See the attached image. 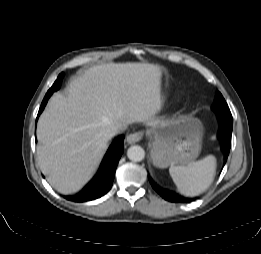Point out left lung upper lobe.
<instances>
[{
    "instance_id": "5c2ea615",
    "label": "left lung upper lobe",
    "mask_w": 261,
    "mask_h": 254,
    "mask_svg": "<svg viewBox=\"0 0 261 254\" xmlns=\"http://www.w3.org/2000/svg\"><path fill=\"white\" fill-rule=\"evenodd\" d=\"M212 109L218 115L232 116L229 107L220 92L216 93V98Z\"/></svg>"
}]
</instances>
